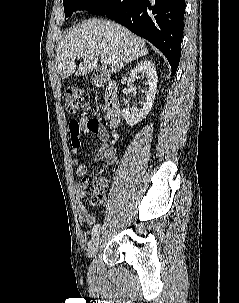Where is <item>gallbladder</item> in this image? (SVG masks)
<instances>
[{"label": "gallbladder", "mask_w": 239, "mask_h": 303, "mask_svg": "<svg viewBox=\"0 0 239 303\" xmlns=\"http://www.w3.org/2000/svg\"><path fill=\"white\" fill-rule=\"evenodd\" d=\"M98 78H99L100 80H105V79H106V77L103 76V75H101V74L98 75Z\"/></svg>", "instance_id": "gallbladder-1"}]
</instances>
